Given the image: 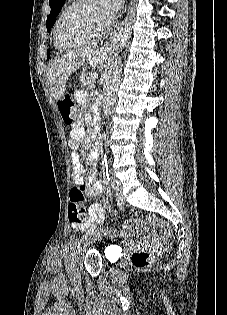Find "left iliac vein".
I'll use <instances>...</instances> for the list:
<instances>
[{
	"label": "left iliac vein",
	"mask_w": 227,
	"mask_h": 315,
	"mask_svg": "<svg viewBox=\"0 0 227 315\" xmlns=\"http://www.w3.org/2000/svg\"><path fill=\"white\" fill-rule=\"evenodd\" d=\"M113 189L115 190V196H116V201H117L118 205L119 206L123 205L125 202V197L122 193L121 184L116 180H114ZM99 236H100V230H97L90 237V241L96 240Z\"/></svg>",
	"instance_id": "obj_1"
}]
</instances>
